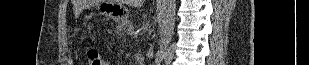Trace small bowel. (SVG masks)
Returning <instances> with one entry per match:
<instances>
[{"label": "small bowel", "instance_id": "c3829d8e", "mask_svg": "<svg viewBox=\"0 0 309 65\" xmlns=\"http://www.w3.org/2000/svg\"><path fill=\"white\" fill-rule=\"evenodd\" d=\"M103 65H111V62L108 60H104Z\"/></svg>", "mask_w": 309, "mask_h": 65}]
</instances>
